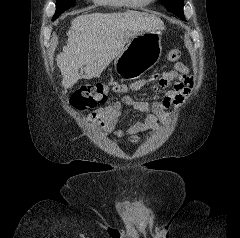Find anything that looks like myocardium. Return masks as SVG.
Segmentation results:
<instances>
[{"mask_svg":"<svg viewBox=\"0 0 240 238\" xmlns=\"http://www.w3.org/2000/svg\"><path fill=\"white\" fill-rule=\"evenodd\" d=\"M155 0H142V1H140V4L141 5H148V4H150V3H152V2H154ZM123 2L125 3V4H127L128 6H135L136 4H137V2L135 1V0H123Z\"/></svg>","mask_w":240,"mask_h":238,"instance_id":"obj_1","label":"myocardium"}]
</instances>
